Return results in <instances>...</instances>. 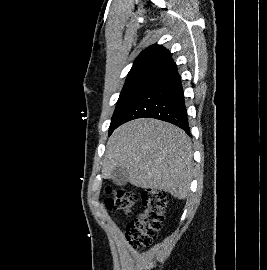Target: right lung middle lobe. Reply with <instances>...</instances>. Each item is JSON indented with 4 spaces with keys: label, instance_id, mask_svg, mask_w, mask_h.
Wrapping results in <instances>:
<instances>
[{
    "label": "right lung middle lobe",
    "instance_id": "obj_1",
    "mask_svg": "<svg viewBox=\"0 0 267 270\" xmlns=\"http://www.w3.org/2000/svg\"><path fill=\"white\" fill-rule=\"evenodd\" d=\"M155 75H144L125 82L111 119L109 135L123 124L126 114L149 87Z\"/></svg>",
    "mask_w": 267,
    "mask_h": 270
}]
</instances>
